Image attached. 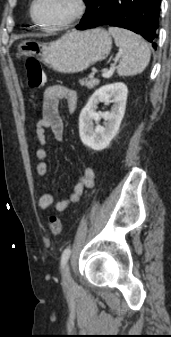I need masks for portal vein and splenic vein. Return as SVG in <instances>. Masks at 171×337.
<instances>
[{"label": "portal vein and splenic vein", "mask_w": 171, "mask_h": 337, "mask_svg": "<svg viewBox=\"0 0 171 337\" xmlns=\"http://www.w3.org/2000/svg\"><path fill=\"white\" fill-rule=\"evenodd\" d=\"M117 60H118V58L115 59V63L110 67V69L108 71H105V72L102 73V76L104 78H109L113 75L114 70H115V64H116ZM93 71L95 72L96 70L94 69Z\"/></svg>", "instance_id": "18ae733b"}]
</instances>
